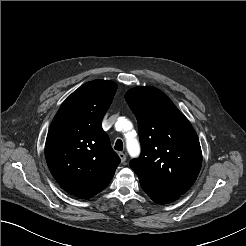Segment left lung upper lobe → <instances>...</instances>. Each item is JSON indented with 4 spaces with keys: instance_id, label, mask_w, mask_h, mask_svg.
I'll return each mask as SVG.
<instances>
[{
    "instance_id": "obj_1",
    "label": "left lung upper lobe",
    "mask_w": 246,
    "mask_h": 246,
    "mask_svg": "<svg viewBox=\"0 0 246 246\" xmlns=\"http://www.w3.org/2000/svg\"><path fill=\"white\" fill-rule=\"evenodd\" d=\"M125 99L138 122L141 155L130 162L139 181L177 194L194 184L202 152L192 125L173 102L154 87H136Z\"/></svg>"
}]
</instances>
